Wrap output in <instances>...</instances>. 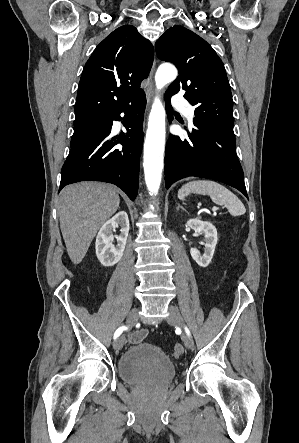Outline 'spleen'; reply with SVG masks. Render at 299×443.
Returning <instances> with one entry per match:
<instances>
[{
    "instance_id": "1",
    "label": "spleen",
    "mask_w": 299,
    "mask_h": 443,
    "mask_svg": "<svg viewBox=\"0 0 299 443\" xmlns=\"http://www.w3.org/2000/svg\"><path fill=\"white\" fill-rule=\"evenodd\" d=\"M190 194L208 195L211 200L224 205L232 216L245 214L246 209L239 198L221 184L210 180H196L183 185L178 191V198L185 200Z\"/></svg>"
}]
</instances>
